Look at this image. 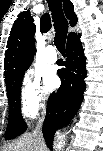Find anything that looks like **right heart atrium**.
<instances>
[{
  "instance_id": "d8ad5b80",
  "label": "right heart atrium",
  "mask_w": 103,
  "mask_h": 151,
  "mask_svg": "<svg viewBox=\"0 0 103 151\" xmlns=\"http://www.w3.org/2000/svg\"><path fill=\"white\" fill-rule=\"evenodd\" d=\"M46 94L39 77L28 72L23 77L20 87V101L24 115L35 117L46 106Z\"/></svg>"
}]
</instances>
